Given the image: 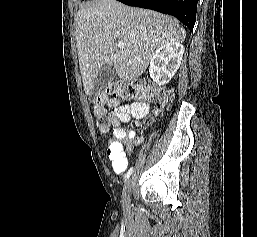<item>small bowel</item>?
<instances>
[{"mask_svg":"<svg viewBox=\"0 0 257 237\" xmlns=\"http://www.w3.org/2000/svg\"><path fill=\"white\" fill-rule=\"evenodd\" d=\"M149 112V104L147 102H135L130 105H116L111 113L113 136L123 135L121 125L130 122L133 118L142 119L146 117ZM127 138L130 142L129 147L123 146L122 140L111 139L106 147V153L109 157L113 171L120 175L122 174L132 158L134 151L142 142V138L136 137L134 131H129Z\"/></svg>","mask_w":257,"mask_h":237,"instance_id":"1","label":"small bowel"}]
</instances>
